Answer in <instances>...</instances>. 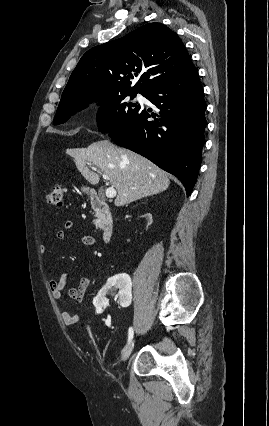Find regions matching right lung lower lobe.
Segmentation results:
<instances>
[{
    "label": "right lung lower lobe",
    "mask_w": 269,
    "mask_h": 426,
    "mask_svg": "<svg viewBox=\"0 0 269 426\" xmlns=\"http://www.w3.org/2000/svg\"><path fill=\"white\" fill-rule=\"evenodd\" d=\"M143 96L157 109L140 107L109 136L121 147L148 158L175 175L189 196L199 173L206 102L198 72L183 74L152 87Z\"/></svg>",
    "instance_id": "1"
}]
</instances>
